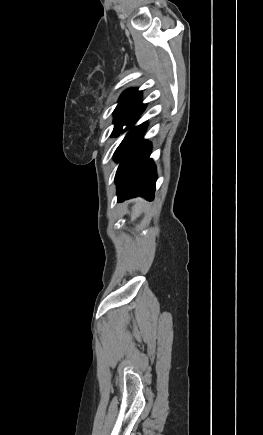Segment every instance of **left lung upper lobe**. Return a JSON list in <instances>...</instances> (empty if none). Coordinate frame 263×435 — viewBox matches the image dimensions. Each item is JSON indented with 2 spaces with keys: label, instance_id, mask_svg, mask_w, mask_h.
Returning <instances> with one entry per match:
<instances>
[{
  "label": "left lung upper lobe",
  "instance_id": "obj_1",
  "mask_svg": "<svg viewBox=\"0 0 263 435\" xmlns=\"http://www.w3.org/2000/svg\"><path fill=\"white\" fill-rule=\"evenodd\" d=\"M146 105L141 103V92L136 89L125 91L114 110L115 127L112 136H117L123 131L124 126H129L145 110Z\"/></svg>",
  "mask_w": 263,
  "mask_h": 435
}]
</instances>
